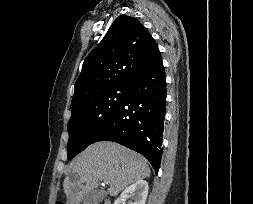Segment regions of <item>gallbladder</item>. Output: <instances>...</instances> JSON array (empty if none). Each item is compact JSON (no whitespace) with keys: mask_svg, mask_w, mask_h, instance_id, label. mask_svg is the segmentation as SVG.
Here are the masks:
<instances>
[{"mask_svg":"<svg viewBox=\"0 0 253 204\" xmlns=\"http://www.w3.org/2000/svg\"><path fill=\"white\" fill-rule=\"evenodd\" d=\"M104 198V191L101 189L93 190L83 197V202L88 204H94L96 201H102Z\"/></svg>","mask_w":253,"mask_h":204,"instance_id":"1","label":"gallbladder"}]
</instances>
